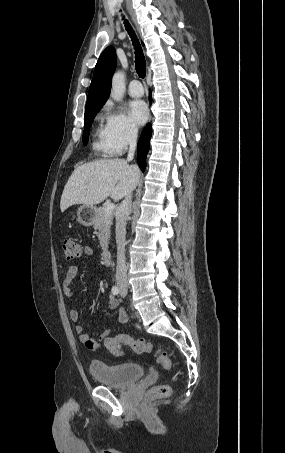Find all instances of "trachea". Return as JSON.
<instances>
[{
	"label": "trachea",
	"mask_w": 285,
	"mask_h": 453,
	"mask_svg": "<svg viewBox=\"0 0 285 453\" xmlns=\"http://www.w3.org/2000/svg\"><path fill=\"white\" fill-rule=\"evenodd\" d=\"M125 26H126V30L128 31V33L131 37V40L133 41V45L135 48V54H136L135 68H136L137 74L139 75V77L144 78L146 75V62H145V57H144L143 51L141 49L140 43H139L134 31L132 30V27L127 22V20L125 21Z\"/></svg>",
	"instance_id": "trachea-1"
}]
</instances>
